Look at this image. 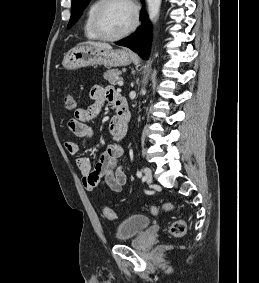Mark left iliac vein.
<instances>
[{"mask_svg": "<svg viewBox=\"0 0 259 283\" xmlns=\"http://www.w3.org/2000/svg\"><path fill=\"white\" fill-rule=\"evenodd\" d=\"M144 175H145L144 178H145L146 182L148 184H151V182H152V171H151V169L148 168V167H145L144 168Z\"/></svg>", "mask_w": 259, "mask_h": 283, "instance_id": "obj_1", "label": "left iliac vein"}]
</instances>
